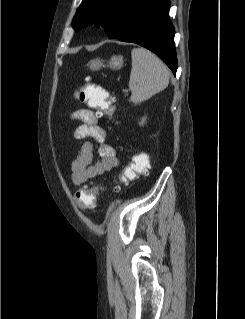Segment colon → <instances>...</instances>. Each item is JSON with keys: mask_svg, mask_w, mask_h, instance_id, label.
<instances>
[{"mask_svg": "<svg viewBox=\"0 0 245 319\" xmlns=\"http://www.w3.org/2000/svg\"><path fill=\"white\" fill-rule=\"evenodd\" d=\"M78 98L89 108L95 109L99 115L110 116L114 113V98L104 88L91 83L89 78L87 84L79 90ZM148 167L149 159L145 154L135 155L120 174L119 181L128 182L145 175L148 173ZM97 195V187L84 186L75 192L74 200L81 208H93L97 204Z\"/></svg>", "mask_w": 245, "mask_h": 319, "instance_id": "obj_1", "label": "colon"}]
</instances>
